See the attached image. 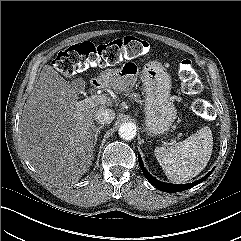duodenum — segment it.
I'll use <instances>...</instances> for the list:
<instances>
[{
  "instance_id": "duodenum-1",
  "label": "duodenum",
  "mask_w": 241,
  "mask_h": 241,
  "mask_svg": "<svg viewBox=\"0 0 241 241\" xmlns=\"http://www.w3.org/2000/svg\"><path fill=\"white\" fill-rule=\"evenodd\" d=\"M103 86V81L99 78H94L92 81H91V88L93 90H98V89H101Z\"/></svg>"
}]
</instances>
